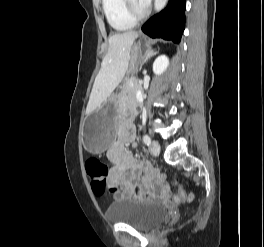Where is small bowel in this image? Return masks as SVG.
Returning <instances> with one entry per match:
<instances>
[{
  "label": "small bowel",
  "instance_id": "obj_1",
  "mask_svg": "<svg viewBox=\"0 0 264 247\" xmlns=\"http://www.w3.org/2000/svg\"><path fill=\"white\" fill-rule=\"evenodd\" d=\"M135 137V125L128 120L119 129L117 140L107 152L108 158L114 162L109 171V184L119 189L116 199L150 196L160 200L168 195L169 187L165 177L149 162L137 161L126 150L128 145L134 150L139 148Z\"/></svg>",
  "mask_w": 264,
  "mask_h": 247
}]
</instances>
